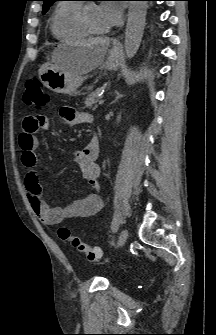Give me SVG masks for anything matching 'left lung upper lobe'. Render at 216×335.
<instances>
[{"label": "left lung upper lobe", "instance_id": "left-lung-upper-lobe-1", "mask_svg": "<svg viewBox=\"0 0 216 335\" xmlns=\"http://www.w3.org/2000/svg\"><path fill=\"white\" fill-rule=\"evenodd\" d=\"M41 1H44L43 5V14H44L48 11L49 7L57 0H41Z\"/></svg>", "mask_w": 216, "mask_h": 335}]
</instances>
